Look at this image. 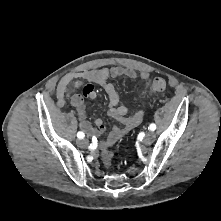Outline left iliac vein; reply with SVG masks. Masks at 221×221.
Returning a JSON list of instances; mask_svg holds the SVG:
<instances>
[{"label":"left iliac vein","instance_id":"4c4485c4","mask_svg":"<svg viewBox=\"0 0 221 221\" xmlns=\"http://www.w3.org/2000/svg\"><path fill=\"white\" fill-rule=\"evenodd\" d=\"M156 136L154 132H149L146 134V136L143 139V143L146 145H150L154 142Z\"/></svg>","mask_w":221,"mask_h":221}]
</instances>
